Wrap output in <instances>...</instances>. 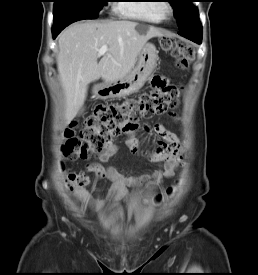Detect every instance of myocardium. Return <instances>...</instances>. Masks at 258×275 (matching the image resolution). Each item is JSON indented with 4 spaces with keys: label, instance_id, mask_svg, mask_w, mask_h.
Returning <instances> with one entry per match:
<instances>
[{
    "label": "myocardium",
    "instance_id": "1",
    "mask_svg": "<svg viewBox=\"0 0 258 275\" xmlns=\"http://www.w3.org/2000/svg\"><path fill=\"white\" fill-rule=\"evenodd\" d=\"M159 11L163 19H169L174 15V8L170 3H161Z\"/></svg>",
    "mask_w": 258,
    "mask_h": 275
}]
</instances>
